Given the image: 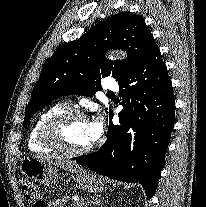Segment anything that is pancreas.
Masks as SVG:
<instances>
[{"mask_svg": "<svg viewBox=\"0 0 206 207\" xmlns=\"http://www.w3.org/2000/svg\"><path fill=\"white\" fill-rule=\"evenodd\" d=\"M60 207H62L64 205V199L60 202ZM72 207H88V203L87 202H79L77 204H74Z\"/></svg>", "mask_w": 206, "mask_h": 207, "instance_id": "obj_1", "label": "pancreas"}]
</instances>
